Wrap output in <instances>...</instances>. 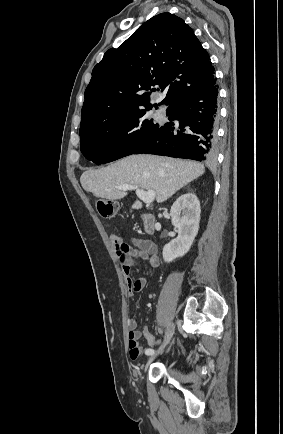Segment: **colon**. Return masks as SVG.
<instances>
[{
	"label": "colon",
	"instance_id": "colon-1",
	"mask_svg": "<svg viewBox=\"0 0 283 434\" xmlns=\"http://www.w3.org/2000/svg\"><path fill=\"white\" fill-rule=\"evenodd\" d=\"M97 209L103 218L110 219L116 215L117 204L115 201L110 199H100L97 202Z\"/></svg>",
	"mask_w": 283,
	"mask_h": 434
}]
</instances>
